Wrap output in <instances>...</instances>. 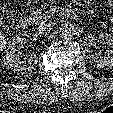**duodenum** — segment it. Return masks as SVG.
Instances as JSON below:
<instances>
[{"label":"duodenum","instance_id":"obj_1","mask_svg":"<svg viewBox=\"0 0 113 113\" xmlns=\"http://www.w3.org/2000/svg\"><path fill=\"white\" fill-rule=\"evenodd\" d=\"M61 16L62 18L69 20L79 19L78 15L72 9L69 8L63 9V11L61 12ZM19 25L22 30L29 29V27L31 26V18L29 16L22 17Z\"/></svg>","mask_w":113,"mask_h":113}]
</instances>
